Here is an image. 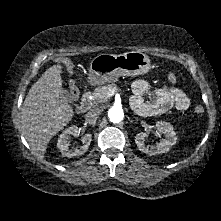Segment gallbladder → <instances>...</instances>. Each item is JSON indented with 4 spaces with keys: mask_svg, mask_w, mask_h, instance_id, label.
Returning <instances> with one entry per match:
<instances>
[{
    "mask_svg": "<svg viewBox=\"0 0 221 221\" xmlns=\"http://www.w3.org/2000/svg\"><path fill=\"white\" fill-rule=\"evenodd\" d=\"M62 98H64L67 102H71L70 94L67 90H63L61 93Z\"/></svg>",
    "mask_w": 221,
    "mask_h": 221,
    "instance_id": "obj_1",
    "label": "gallbladder"
}]
</instances>
